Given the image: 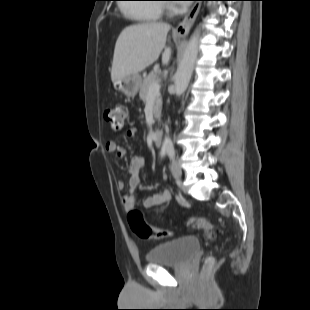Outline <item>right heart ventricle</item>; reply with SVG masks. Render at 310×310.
Wrapping results in <instances>:
<instances>
[{
    "mask_svg": "<svg viewBox=\"0 0 310 310\" xmlns=\"http://www.w3.org/2000/svg\"><path fill=\"white\" fill-rule=\"evenodd\" d=\"M146 1V0H141ZM126 15L139 22H151L161 15V8L157 4L131 5L123 8Z\"/></svg>",
    "mask_w": 310,
    "mask_h": 310,
    "instance_id": "right-heart-ventricle-1",
    "label": "right heart ventricle"
}]
</instances>
